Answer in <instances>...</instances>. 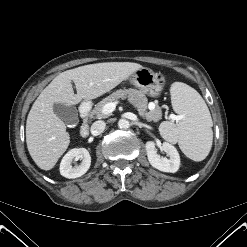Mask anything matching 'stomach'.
Returning a JSON list of instances; mask_svg holds the SVG:
<instances>
[{"label":"stomach","mask_w":247,"mask_h":247,"mask_svg":"<svg viewBox=\"0 0 247 247\" xmlns=\"http://www.w3.org/2000/svg\"><path fill=\"white\" fill-rule=\"evenodd\" d=\"M130 83L140 91L157 97L163 90L166 80L161 73H155L153 70L142 67L135 71L129 79Z\"/></svg>","instance_id":"1"}]
</instances>
